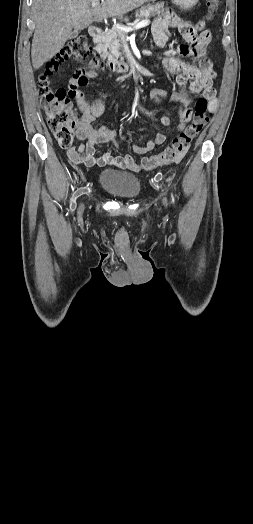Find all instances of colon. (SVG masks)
Listing matches in <instances>:
<instances>
[{"instance_id": "obj_1", "label": "colon", "mask_w": 253, "mask_h": 524, "mask_svg": "<svg viewBox=\"0 0 253 524\" xmlns=\"http://www.w3.org/2000/svg\"><path fill=\"white\" fill-rule=\"evenodd\" d=\"M207 5L209 12L214 14L219 9L220 0H207ZM68 59L83 62L86 66L77 68L73 75L68 77L70 85L68 90L52 87L49 80L50 75ZM107 60L108 57L104 53L94 58L88 36L81 34L73 39L57 58L48 63L46 70L39 76L38 88L41 104L46 113L49 128L54 133L60 147L68 149L73 146L75 131L80 127L73 109V100L81 95V87L86 86L90 80L96 81L103 77ZM210 116L207 100L202 97L196 103L194 116L188 127L174 138L160 154L143 158L141 160L142 168L151 170L178 162L187 152L192 140L207 124Z\"/></svg>"}]
</instances>
